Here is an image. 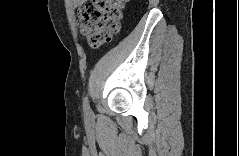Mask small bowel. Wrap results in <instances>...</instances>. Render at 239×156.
I'll return each mask as SVG.
<instances>
[{
    "label": "small bowel",
    "mask_w": 239,
    "mask_h": 156,
    "mask_svg": "<svg viewBox=\"0 0 239 156\" xmlns=\"http://www.w3.org/2000/svg\"><path fill=\"white\" fill-rule=\"evenodd\" d=\"M80 2H81L80 0H75V1H73V4L78 5V4H80Z\"/></svg>",
    "instance_id": "1"
}]
</instances>
